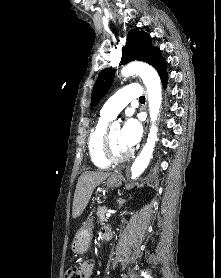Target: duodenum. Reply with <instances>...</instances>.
<instances>
[{"label": "duodenum", "instance_id": "duodenum-1", "mask_svg": "<svg viewBox=\"0 0 221 278\" xmlns=\"http://www.w3.org/2000/svg\"><path fill=\"white\" fill-rule=\"evenodd\" d=\"M112 236H113L112 230L109 228H105L102 234L104 242H109L112 239Z\"/></svg>", "mask_w": 221, "mask_h": 278}]
</instances>
